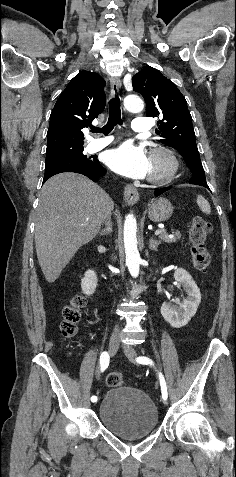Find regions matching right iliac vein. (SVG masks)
<instances>
[{"instance_id":"1","label":"right iliac vein","mask_w":236,"mask_h":477,"mask_svg":"<svg viewBox=\"0 0 236 477\" xmlns=\"http://www.w3.org/2000/svg\"><path fill=\"white\" fill-rule=\"evenodd\" d=\"M119 335L116 333V334H113L110 341H109V353L111 356H114L118 350V347H119ZM99 389L100 388H97L96 389V392H95V395L97 396V400L98 402H100L101 398H99V395H98V392H99ZM93 408H98V403L96 405H92Z\"/></svg>"}]
</instances>
